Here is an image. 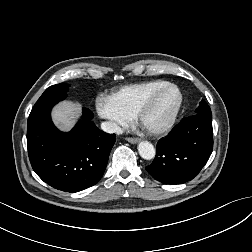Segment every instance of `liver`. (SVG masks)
I'll return each mask as SVG.
<instances>
[{"instance_id": "liver-1", "label": "liver", "mask_w": 252, "mask_h": 252, "mask_svg": "<svg viewBox=\"0 0 252 252\" xmlns=\"http://www.w3.org/2000/svg\"><path fill=\"white\" fill-rule=\"evenodd\" d=\"M71 101H64L56 105L52 111L54 124L64 132H68L74 126L80 116V109Z\"/></svg>"}]
</instances>
